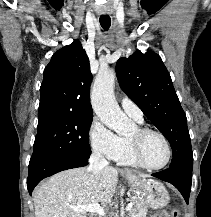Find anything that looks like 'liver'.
I'll list each match as a JSON object with an SVG mask.
<instances>
[{
  "label": "liver",
  "mask_w": 211,
  "mask_h": 217,
  "mask_svg": "<svg viewBox=\"0 0 211 217\" xmlns=\"http://www.w3.org/2000/svg\"><path fill=\"white\" fill-rule=\"evenodd\" d=\"M118 181V170L110 166L103 169L99 178L89 167L59 172L34 191L35 217H86V213L71 207L94 203L105 207L115 194Z\"/></svg>",
  "instance_id": "liver-1"
}]
</instances>
